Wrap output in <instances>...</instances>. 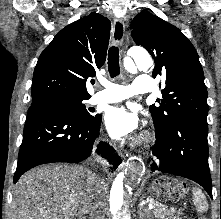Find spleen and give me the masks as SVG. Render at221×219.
<instances>
[{"mask_svg": "<svg viewBox=\"0 0 221 219\" xmlns=\"http://www.w3.org/2000/svg\"><path fill=\"white\" fill-rule=\"evenodd\" d=\"M194 196V204L197 207L199 212H206L208 209V204L206 202L205 196L203 195L202 191L199 189L193 190Z\"/></svg>", "mask_w": 221, "mask_h": 219, "instance_id": "1", "label": "spleen"}]
</instances>
